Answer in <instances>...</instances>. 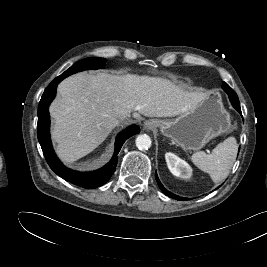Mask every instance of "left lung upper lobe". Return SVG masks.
Instances as JSON below:
<instances>
[{
    "label": "left lung upper lobe",
    "mask_w": 267,
    "mask_h": 267,
    "mask_svg": "<svg viewBox=\"0 0 267 267\" xmlns=\"http://www.w3.org/2000/svg\"><path fill=\"white\" fill-rule=\"evenodd\" d=\"M226 85H228V84L224 82L223 86H226Z\"/></svg>",
    "instance_id": "obj_1"
}]
</instances>
